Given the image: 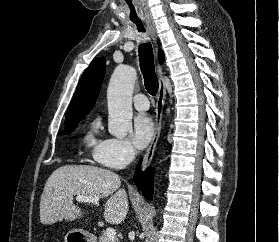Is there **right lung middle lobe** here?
Listing matches in <instances>:
<instances>
[{
    "mask_svg": "<svg viewBox=\"0 0 279 242\" xmlns=\"http://www.w3.org/2000/svg\"><path fill=\"white\" fill-rule=\"evenodd\" d=\"M77 123V122H76ZM76 123L65 124L64 134H68L75 129Z\"/></svg>",
    "mask_w": 279,
    "mask_h": 242,
    "instance_id": "dd1d6c3e",
    "label": "right lung middle lobe"
}]
</instances>
